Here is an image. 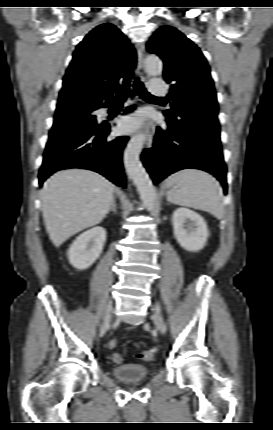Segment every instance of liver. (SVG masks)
<instances>
[{"label": "liver", "mask_w": 273, "mask_h": 430, "mask_svg": "<svg viewBox=\"0 0 273 430\" xmlns=\"http://www.w3.org/2000/svg\"><path fill=\"white\" fill-rule=\"evenodd\" d=\"M114 185L88 169L56 172L41 190L46 230L56 247L68 238L102 221L109 211Z\"/></svg>", "instance_id": "obj_1"}]
</instances>
